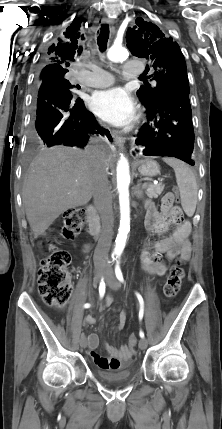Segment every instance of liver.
<instances>
[{
  "mask_svg": "<svg viewBox=\"0 0 222 429\" xmlns=\"http://www.w3.org/2000/svg\"><path fill=\"white\" fill-rule=\"evenodd\" d=\"M100 152L108 171L110 161L104 151ZM94 168L95 161L87 150L61 146L45 149L32 160L24 179L22 200L35 237L65 211L91 200Z\"/></svg>",
  "mask_w": 222,
  "mask_h": 429,
  "instance_id": "6515ba94",
  "label": "liver"
}]
</instances>
